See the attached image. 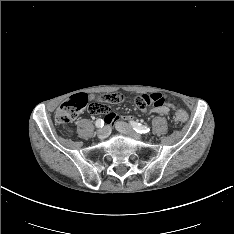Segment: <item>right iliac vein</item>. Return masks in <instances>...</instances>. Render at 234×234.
<instances>
[{"mask_svg":"<svg viewBox=\"0 0 234 234\" xmlns=\"http://www.w3.org/2000/svg\"><path fill=\"white\" fill-rule=\"evenodd\" d=\"M109 127L108 126H105L104 128H101L98 130L97 132V136L99 139H105L108 137L109 135Z\"/></svg>","mask_w":234,"mask_h":234,"instance_id":"63e3f726","label":"right iliac vein"}]
</instances>
